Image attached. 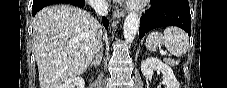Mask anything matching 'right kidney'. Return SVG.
<instances>
[{
    "mask_svg": "<svg viewBox=\"0 0 227 88\" xmlns=\"http://www.w3.org/2000/svg\"><path fill=\"white\" fill-rule=\"evenodd\" d=\"M85 81L82 77H74L59 85L58 88H84Z\"/></svg>",
    "mask_w": 227,
    "mask_h": 88,
    "instance_id": "right-kidney-1",
    "label": "right kidney"
}]
</instances>
